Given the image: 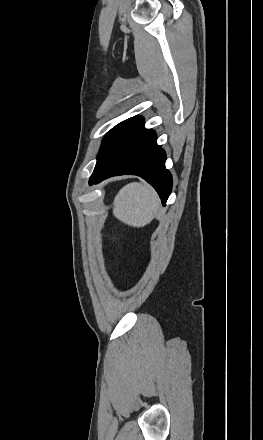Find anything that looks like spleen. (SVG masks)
<instances>
[{"label":"spleen","instance_id":"spleen-1","mask_svg":"<svg viewBox=\"0 0 263 440\" xmlns=\"http://www.w3.org/2000/svg\"><path fill=\"white\" fill-rule=\"evenodd\" d=\"M113 205L117 219L133 227H143L158 213L160 199L151 186L132 182L120 189Z\"/></svg>","mask_w":263,"mask_h":440}]
</instances>
